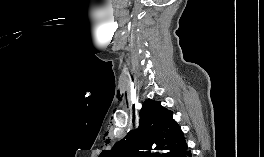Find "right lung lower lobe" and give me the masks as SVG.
<instances>
[{"label": "right lung lower lobe", "instance_id": "obj_1", "mask_svg": "<svg viewBox=\"0 0 264 157\" xmlns=\"http://www.w3.org/2000/svg\"><path fill=\"white\" fill-rule=\"evenodd\" d=\"M164 157H192V154L187 147L185 139H183L173 149L167 152Z\"/></svg>", "mask_w": 264, "mask_h": 157}]
</instances>
